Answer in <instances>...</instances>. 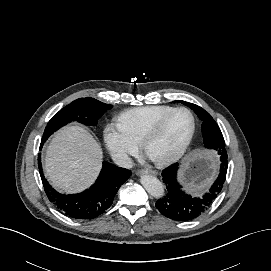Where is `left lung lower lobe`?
<instances>
[{
  "mask_svg": "<svg viewBox=\"0 0 271 271\" xmlns=\"http://www.w3.org/2000/svg\"><path fill=\"white\" fill-rule=\"evenodd\" d=\"M218 154L221 160L220 174L210 191L200 198H192L181 190L182 187L176 179L178 163L164 169L162 179L166 186V195L156 202V208L164 216L181 222L193 220L202 215L217 198L226 179L228 167L226 150Z\"/></svg>",
  "mask_w": 271,
  "mask_h": 271,
  "instance_id": "obj_1",
  "label": "left lung lower lobe"
}]
</instances>
